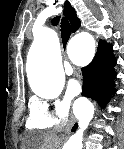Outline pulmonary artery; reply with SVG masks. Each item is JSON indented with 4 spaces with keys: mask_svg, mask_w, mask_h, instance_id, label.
Masks as SVG:
<instances>
[{
    "mask_svg": "<svg viewBox=\"0 0 124 149\" xmlns=\"http://www.w3.org/2000/svg\"><path fill=\"white\" fill-rule=\"evenodd\" d=\"M65 72L67 74H71L73 72V67H72L71 63L68 62L65 64Z\"/></svg>",
    "mask_w": 124,
    "mask_h": 149,
    "instance_id": "1",
    "label": "pulmonary artery"
}]
</instances>
